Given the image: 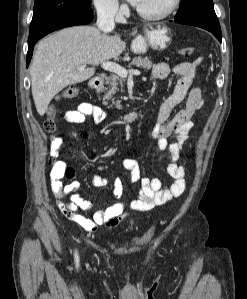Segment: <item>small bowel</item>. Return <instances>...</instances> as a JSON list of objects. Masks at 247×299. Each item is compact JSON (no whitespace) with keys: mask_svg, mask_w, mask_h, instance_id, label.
<instances>
[{"mask_svg":"<svg viewBox=\"0 0 247 299\" xmlns=\"http://www.w3.org/2000/svg\"><path fill=\"white\" fill-rule=\"evenodd\" d=\"M202 62L197 58L191 62L178 63L171 67L165 62L157 63L152 70V77L157 80L166 79L170 73L179 76V79L168 98L161 104L157 122L152 131V136L157 141L160 150L170 152V162L167 172L173 179L169 185H163L159 178L142 177L140 168L134 159H124L122 169L129 174L132 183L140 184L138 196L129 205L121 198L123 194V183L120 179L113 182V193L116 201L112 204L94 211L91 201L79 194L80 183L72 181L63 185L59 180L65 163L58 161L55 171L52 173L53 181L51 189L57 200V205L65 217L79 224L88 232H95L99 226L106 228L116 227L127 215V206L133 211H145L155 205H162L173 198L179 197L186 187V169L178 163L182 148L188 138L193 126L192 119L204 103L201 90L193 85L198 66ZM186 99V105L173 119L170 120L172 111ZM88 117L101 122L106 118L101 107L89 102L80 103L75 110L67 111L63 119L72 124H82ZM174 135L175 141L168 142V138ZM76 137L83 140L82 132H76ZM62 140L59 137L52 143V155L58 156ZM92 184L98 188L109 185V180L97 175L92 176ZM70 195V200L66 197Z\"/></svg>","mask_w":247,"mask_h":299,"instance_id":"c3829d8e","label":"small bowel"}]
</instances>
